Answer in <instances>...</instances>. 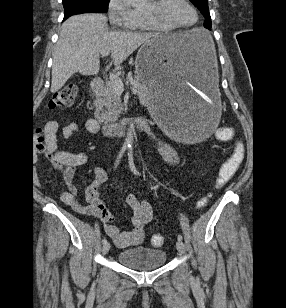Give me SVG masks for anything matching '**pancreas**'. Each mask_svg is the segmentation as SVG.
<instances>
[{"label": "pancreas", "mask_w": 286, "mask_h": 308, "mask_svg": "<svg viewBox=\"0 0 286 308\" xmlns=\"http://www.w3.org/2000/svg\"><path fill=\"white\" fill-rule=\"evenodd\" d=\"M130 84L137 89V95L139 96L141 103L148 105L150 97L148 87L143 82L141 83L138 78L131 81ZM95 97V117L100 122L114 123L119 114L121 94L114 88L112 81L110 80L106 82V84L96 92Z\"/></svg>", "instance_id": "1"}]
</instances>
